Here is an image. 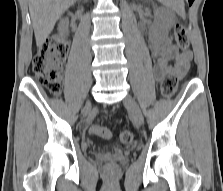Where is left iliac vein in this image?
<instances>
[{
    "label": "left iliac vein",
    "instance_id": "obj_1",
    "mask_svg": "<svg viewBox=\"0 0 223 191\" xmlns=\"http://www.w3.org/2000/svg\"><path fill=\"white\" fill-rule=\"evenodd\" d=\"M124 105L129 111L135 125L140 127L143 122V116L138 103L135 101L133 97L127 95L126 98L124 99Z\"/></svg>",
    "mask_w": 223,
    "mask_h": 191
}]
</instances>
